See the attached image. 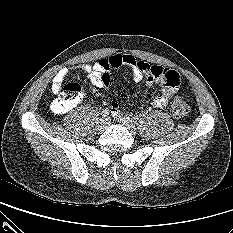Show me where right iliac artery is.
<instances>
[{"instance_id":"right-iliac-artery-1","label":"right iliac artery","mask_w":233,"mask_h":233,"mask_svg":"<svg viewBox=\"0 0 233 233\" xmlns=\"http://www.w3.org/2000/svg\"><path fill=\"white\" fill-rule=\"evenodd\" d=\"M101 114L103 117H107L109 115V109H107V108L103 109Z\"/></svg>"}]
</instances>
